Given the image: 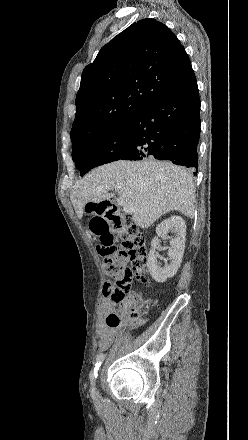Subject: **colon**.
I'll use <instances>...</instances> for the list:
<instances>
[{
	"instance_id": "colon-1",
	"label": "colon",
	"mask_w": 248,
	"mask_h": 440,
	"mask_svg": "<svg viewBox=\"0 0 248 440\" xmlns=\"http://www.w3.org/2000/svg\"><path fill=\"white\" fill-rule=\"evenodd\" d=\"M98 218H110L112 228L121 240L120 244L102 241L98 246V252L104 258L105 273L115 278L114 281H107L103 285V305L109 308L116 306L127 308L133 305L134 307L129 312V319L134 324H143L145 319L136 309L140 305V299L135 295H130L129 292L134 277L142 282L148 281L144 237L127 215L118 213L115 205L112 208L103 206V217ZM120 319L115 312H109L105 322L109 327H116L120 324Z\"/></svg>"
}]
</instances>
